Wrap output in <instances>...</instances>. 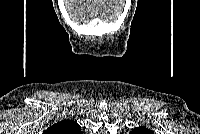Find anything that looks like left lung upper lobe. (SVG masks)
Returning <instances> with one entry per match:
<instances>
[{
    "instance_id": "5c2ea615",
    "label": "left lung upper lobe",
    "mask_w": 200,
    "mask_h": 134,
    "mask_svg": "<svg viewBox=\"0 0 200 134\" xmlns=\"http://www.w3.org/2000/svg\"><path fill=\"white\" fill-rule=\"evenodd\" d=\"M131 134H153V132L145 127L134 128Z\"/></svg>"
}]
</instances>
